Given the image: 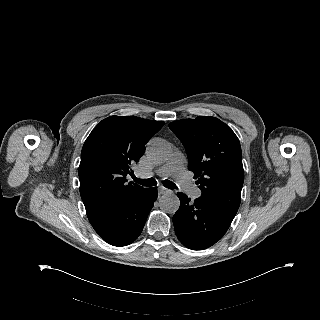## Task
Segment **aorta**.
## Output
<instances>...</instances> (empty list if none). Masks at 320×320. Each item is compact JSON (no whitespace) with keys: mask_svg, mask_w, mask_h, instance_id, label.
<instances>
[{"mask_svg":"<svg viewBox=\"0 0 320 320\" xmlns=\"http://www.w3.org/2000/svg\"><path fill=\"white\" fill-rule=\"evenodd\" d=\"M146 154L151 161L163 163L171 155V147L165 140L153 139L147 145ZM159 203L160 208L167 213H175L180 206L178 196L173 193L161 196Z\"/></svg>","mask_w":320,"mask_h":320,"instance_id":"762f6f07","label":"aorta"}]
</instances>
